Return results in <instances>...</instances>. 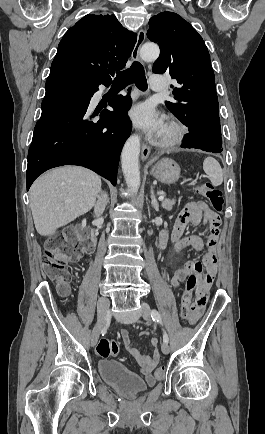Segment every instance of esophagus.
<instances>
[{
	"label": "esophagus",
	"instance_id": "1",
	"mask_svg": "<svg viewBox=\"0 0 265 434\" xmlns=\"http://www.w3.org/2000/svg\"><path fill=\"white\" fill-rule=\"evenodd\" d=\"M146 38V32L143 29H140L137 35V42L135 44V47L133 49L132 52V60L140 62V57H139V51L141 48V45L143 44V42L145 41ZM150 154V147L148 144L144 143L142 145V149H141V159L142 160H146L148 159V156Z\"/></svg>",
	"mask_w": 265,
	"mask_h": 434
}]
</instances>
